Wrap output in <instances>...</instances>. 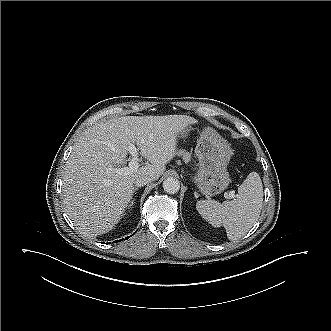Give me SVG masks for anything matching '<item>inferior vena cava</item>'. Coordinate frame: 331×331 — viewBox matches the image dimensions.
<instances>
[{
  "label": "inferior vena cava",
  "mask_w": 331,
  "mask_h": 331,
  "mask_svg": "<svg viewBox=\"0 0 331 331\" xmlns=\"http://www.w3.org/2000/svg\"><path fill=\"white\" fill-rule=\"evenodd\" d=\"M154 180L153 176L142 175L135 179V186L141 187Z\"/></svg>",
  "instance_id": "1"
}]
</instances>
